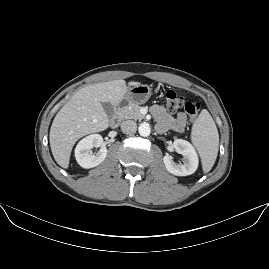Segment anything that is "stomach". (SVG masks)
I'll use <instances>...</instances> for the list:
<instances>
[{
  "label": "stomach",
  "instance_id": "1",
  "mask_svg": "<svg viewBox=\"0 0 269 269\" xmlns=\"http://www.w3.org/2000/svg\"><path fill=\"white\" fill-rule=\"evenodd\" d=\"M151 94V88L148 85H134L128 88L123 96L122 107H126L129 104H143L145 103Z\"/></svg>",
  "mask_w": 269,
  "mask_h": 269
}]
</instances>
